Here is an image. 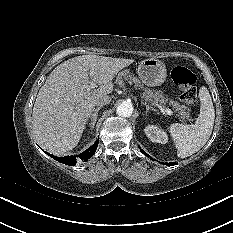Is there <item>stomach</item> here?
<instances>
[{"mask_svg": "<svg viewBox=\"0 0 233 233\" xmlns=\"http://www.w3.org/2000/svg\"><path fill=\"white\" fill-rule=\"evenodd\" d=\"M141 81L147 86H160L166 79L165 64L159 59L148 58L140 62L137 70Z\"/></svg>", "mask_w": 233, "mask_h": 233, "instance_id": "stomach-1", "label": "stomach"}]
</instances>
